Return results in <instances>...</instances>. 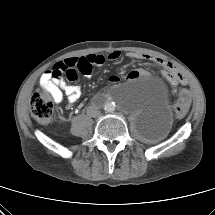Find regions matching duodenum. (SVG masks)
Segmentation results:
<instances>
[{
  "mask_svg": "<svg viewBox=\"0 0 215 215\" xmlns=\"http://www.w3.org/2000/svg\"><path fill=\"white\" fill-rule=\"evenodd\" d=\"M107 101V98H102L99 102H105Z\"/></svg>",
  "mask_w": 215,
  "mask_h": 215,
  "instance_id": "1",
  "label": "duodenum"
}]
</instances>
